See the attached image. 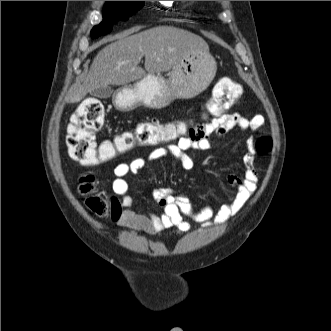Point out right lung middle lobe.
<instances>
[{"label":"right lung middle lobe","instance_id":"dd1d6c3e","mask_svg":"<svg viewBox=\"0 0 331 331\" xmlns=\"http://www.w3.org/2000/svg\"><path fill=\"white\" fill-rule=\"evenodd\" d=\"M144 5V1H108L103 12V21L91 31V36L97 38L112 30V24L117 20H127Z\"/></svg>","mask_w":331,"mask_h":331}]
</instances>
